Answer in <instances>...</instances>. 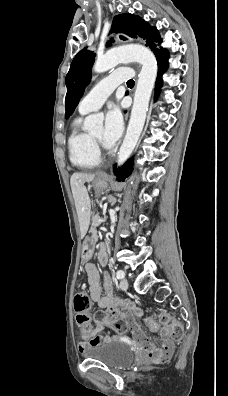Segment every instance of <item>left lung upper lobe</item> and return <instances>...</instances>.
Returning a JSON list of instances; mask_svg holds the SVG:
<instances>
[{
	"instance_id": "obj_1",
	"label": "left lung upper lobe",
	"mask_w": 228,
	"mask_h": 396,
	"mask_svg": "<svg viewBox=\"0 0 228 396\" xmlns=\"http://www.w3.org/2000/svg\"><path fill=\"white\" fill-rule=\"evenodd\" d=\"M119 34L120 39L130 40L137 37L146 39V46L159 33L155 27H151L147 22L133 14L125 13L114 17L111 33ZM112 41L107 42V46ZM95 54L82 49L73 59L69 72L66 76L67 94L65 100V116L68 118L74 112L84 90L91 78V68L94 63Z\"/></svg>"
}]
</instances>
